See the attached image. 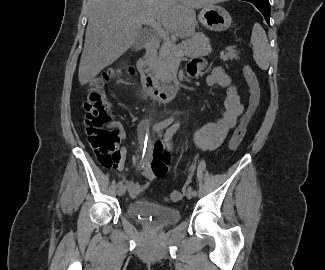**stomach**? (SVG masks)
<instances>
[{"instance_id": "stomach-1", "label": "stomach", "mask_w": 325, "mask_h": 270, "mask_svg": "<svg viewBox=\"0 0 325 270\" xmlns=\"http://www.w3.org/2000/svg\"><path fill=\"white\" fill-rule=\"evenodd\" d=\"M203 26L212 31H223L230 27L232 19L229 13L216 5L204 6L199 14Z\"/></svg>"}]
</instances>
